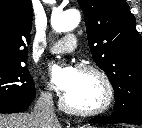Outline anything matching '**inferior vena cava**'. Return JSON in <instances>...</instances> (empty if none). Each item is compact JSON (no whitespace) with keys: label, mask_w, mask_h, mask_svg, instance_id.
I'll return each instance as SVG.
<instances>
[{"label":"inferior vena cava","mask_w":142,"mask_h":128,"mask_svg":"<svg viewBox=\"0 0 142 128\" xmlns=\"http://www.w3.org/2000/svg\"><path fill=\"white\" fill-rule=\"evenodd\" d=\"M33 116L39 121L40 128H51L57 122L50 93H42L40 95L34 106Z\"/></svg>","instance_id":"602c4592"}]
</instances>
